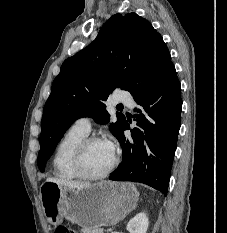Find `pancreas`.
Listing matches in <instances>:
<instances>
[{
	"mask_svg": "<svg viewBox=\"0 0 227 233\" xmlns=\"http://www.w3.org/2000/svg\"><path fill=\"white\" fill-rule=\"evenodd\" d=\"M83 233H102V230L85 227V228H83Z\"/></svg>",
	"mask_w": 227,
	"mask_h": 233,
	"instance_id": "obj_1",
	"label": "pancreas"
}]
</instances>
